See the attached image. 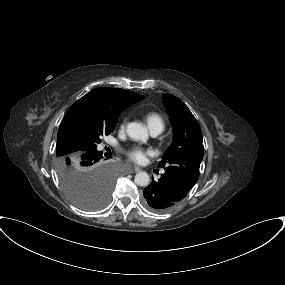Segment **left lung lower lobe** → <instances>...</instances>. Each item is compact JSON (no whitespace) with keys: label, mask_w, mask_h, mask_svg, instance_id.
Instances as JSON below:
<instances>
[{"label":"left lung lower lobe","mask_w":285,"mask_h":285,"mask_svg":"<svg viewBox=\"0 0 285 285\" xmlns=\"http://www.w3.org/2000/svg\"><path fill=\"white\" fill-rule=\"evenodd\" d=\"M193 185L180 175L165 171L158 181L152 179L143 190L145 204L158 212L167 211L182 200Z\"/></svg>","instance_id":"1"}]
</instances>
